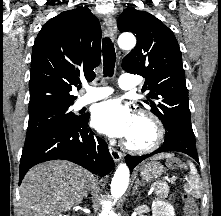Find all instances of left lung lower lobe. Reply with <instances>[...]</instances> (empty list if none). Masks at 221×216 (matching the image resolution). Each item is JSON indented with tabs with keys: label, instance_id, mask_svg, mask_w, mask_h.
Wrapping results in <instances>:
<instances>
[{
	"label": "left lung lower lobe",
	"instance_id": "1",
	"mask_svg": "<svg viewBox=\"0 0 221 216\" xmlns=\"http://www.w3.org/2000/svg\"><path fill=\"white\" fill-rule=\"evenodd\" d=\"M169 151H178V152L185 153L191 156L193 159H195L199 163L195 140L183 138L179 136L165 139L163 145L150 154L143 155V156L127 155L126 163L130 166V169L132 170L136 165H138L144 159L152 155L158 154V153L169 152Z\"/></svg>",
	"mask_w": 221,
	"mask_h": 216
}]
</instances>
